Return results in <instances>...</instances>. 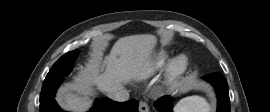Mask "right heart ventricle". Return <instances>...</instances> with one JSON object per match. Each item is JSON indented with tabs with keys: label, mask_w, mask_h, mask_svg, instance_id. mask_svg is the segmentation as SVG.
Returning a JSON list of instances; mask_svg holds the SVG:
<instances>
[{
	"label": "right heart ventricle",
	"mask_w": 270,
	"mask_h": 112,
	"mask_svg": "<svg viewBox=\"0 0 270 112\" xmlns=\"http://www.w3.org/2000/svg\"><path fill=\"white\" fill-rule=\"evenodd\" d=\"M168 61V53L166 51L157 52L144 67L140 73L141 78H147L161 69Z\"/></svg>",
	"instance_id": "obj_1"
}]
</instances>
